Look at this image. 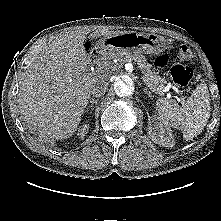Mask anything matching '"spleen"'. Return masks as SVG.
<instances>
[{"label": "spleen", "instance_id": "1", "mask_svg": "<svg viewBox=\"0 0 221 221\" xmlns=\"http://www.w3.org/2000/svg\"><path fill=\"white\" fill-rule=\"evenodd\" d=\"M156 105L159 119L167 126L181 130L186 140L197 137L210 117L208 88L203 83L196 87L182 106L168 99H161Z\"/></svg>", "mask_w": 221, "mask_h": 221}]
</instances>
